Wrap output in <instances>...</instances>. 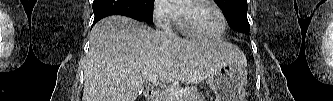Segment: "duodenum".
<instances>
[{"instance_id":"duodenum-1","label":"duodenum","mask_w":333,"mask_h":101,"mask_svg":"<svg viewBox=\"0 0 333 101\" xmlns=\"http://www.w3.org/2000/svg\"><path fill=\"white\" fill-rule=\"evenodd\" d=\"M144 96L147 101H161L162 100L159 92H157L155 90H148Z\"/></svg>"}]
</instances>
